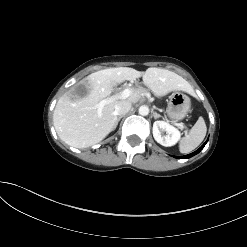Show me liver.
I'll list each match as a JSON object with an SVG mask.
<instances>
[{"label":"liver","mask_w":247,"mask_h":247,"mask_svg":"<svg viewBox=\"0 0 247 247\" xmlns=\"http://www.w3.org/2000/svg\"><path fill=\"white\" fill-rule=\"evenodd\" d=\"M143 77V83L155 96L171 91L192 92L191 85L178 74L161 68H148L145 72L133 68H108L87 76L83 83L87 95L74 98L72 91L59 98L53 113L55 130L62 141L76 148H86L102 141L116 128L115 107L119 101L106 104L101 110L98 104L107 99L115 85L125 80ZM141 91H136L126 101L135 103Z\"/></svg>","instance_id":"obj_1"}]
</instances>
